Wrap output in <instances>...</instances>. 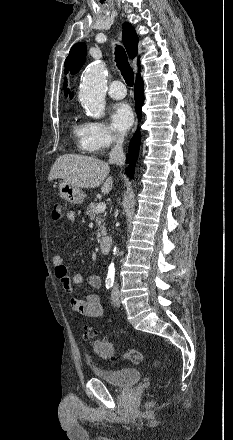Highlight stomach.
Masks as SVG:
<instances>
[{
  "label": "stomach",
  "instance_id": "obj_1",
  "mask_svg": "<svg viewBox=\"0 0 233 440\" xmlns=\"http://www.w3.org/2000/svg\"><path fill=\"white\" fill-rule=\"evenodd\" d=\"M59 195L65 201H68L73 204H82L85 199L84 192L66 181H60L59 183Z\"/></svg>",
  "mask_w": 233,
  "mask_h": 440
}]
</instances>
